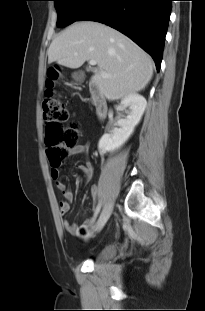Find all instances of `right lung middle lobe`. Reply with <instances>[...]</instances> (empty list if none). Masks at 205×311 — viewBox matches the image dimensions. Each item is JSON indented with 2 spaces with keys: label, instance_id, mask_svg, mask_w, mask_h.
Masks as SVG:
<instances>
[{
  "label": "right lung middle lobe",
  "instance_id": "dd1d6c3e",
  "mask_svg": "<svg viewBox=\"0 0 205 311\" xmlns=\"http://www.w3.org/2000/svg\"><path fill=\"white\" fill-rule=\"evenodd\" d=\"M58 13L57 26L65 27L77 21L98 0H53Z\"/></svg>",
  "mask_w": 205,
  "mask_h": 311
}]
</instances>
